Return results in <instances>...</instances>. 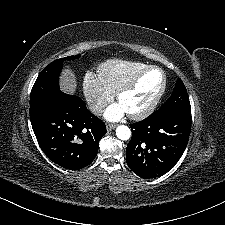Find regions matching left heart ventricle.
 Masks as SVG:
<instances>
[{"instance_id": "left-heart-ventricle-1", "label": "left heart ventricle", "mask_w": 225, "mask_h": 225, "mask_svg": "<svg viewBox=\"0 0 225 225\" xmlns=\"http://www.w3.org/2000/svg\"><path fill=\"white\" fill-rule=\"evenodd\" d=\"M162 84L158 71L150 70L139 82L136 89L125 94L119 101L127 114H136L145 109L156 96Z\"/></svg>"}]
</instances>
